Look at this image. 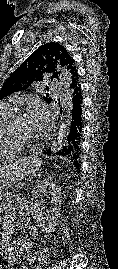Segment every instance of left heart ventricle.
<instances>
[{
	"label": "left heart ventricle",
	"mask_w": 118,
	"mask_h": 269,
	"mask_svg": "<svg viewBox=\"0 0 118 269\" xmlns=\"http://www.w3.org/2000/svg\"><path fill=\"white\" fill-rule=\"evenodd\" d=\"M14 133L25 140L33 142L37 135L33 131V126L27 115L22 116L14 125Z\"/></svg>",
	"instance_id": "obj_1"
}]
</instances>
